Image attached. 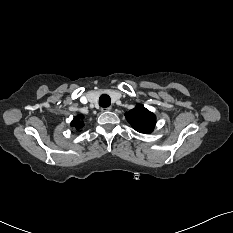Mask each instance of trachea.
Here are the masks:
<instances>
[{"mask_svg":"<svg viewBox=\"0 0 233 233\" xmlns=\"http://www.w3.org/2000/svg\"><path fill=\"white\" fill-rule=\"evenodd\" d=\"M99 105L103 108L109 107L111 105V99L108 95L103 94L99 98Z\"/></svg>","mask_w":233,"mask_h":233,"instance_id":"1","label":"trachea"}]
</instances>
